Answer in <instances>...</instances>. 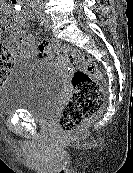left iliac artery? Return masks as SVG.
I'll return each mask as SVG.
<instances>
[{"instance_id":"1","label":"left iliac artery","mask_w":133,"mask_h":173,"mask_svg":"<svg viewBox=\"0 0 133 173\" xmlns=\"http://www.w3.org/2000/svg\"><path fill=\"white\" fill-rule=\"evenodd\" d=\"M37 19H38V22L40 23V26L43 25L44 23V16L41 12H37Z\"/></svg>"}]
</instances>
